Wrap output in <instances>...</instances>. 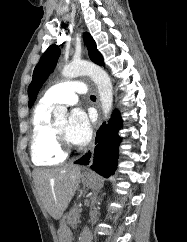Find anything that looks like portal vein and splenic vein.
<instances>
[{"label": "portal vein and splenic vein", "instance_id": "obj_1", "mask_svg": "<svg viewBox=\"0 0 187 242\" xmlns=\"http://www.w3.org/2000/svg\"><path fill=\"white\" fill-rule=\"evenodd\" d=\"M79 212H82V209L81 208L79 209Z\"/></svg>", "mask_w": 187, "mask_h": 242}]
</instances>
